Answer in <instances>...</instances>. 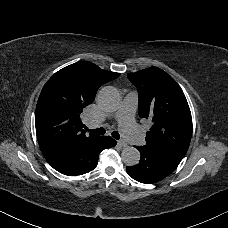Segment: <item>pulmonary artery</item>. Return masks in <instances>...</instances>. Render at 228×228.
I'll use <instances>...</instances> for the list:
<instances>
[{"label": "pulmonary artery", "mask_w": 228, "mask_h": 228, "mask_svg": "<svg viewBox=\"0 0 228 228\" xmlns=\"http://www.w3.org/2000/svg\"><path fill=\"white\" fill-rule=\"evenodd\" d=\"M138 104L139 95L137 93H130L128 95V102L123 110V116L120 123V132L122 133V137L124 139H131L138 134V127L136 125H132Z\"/></svg>", "instance_id": "obj_1"}]
</instances>
